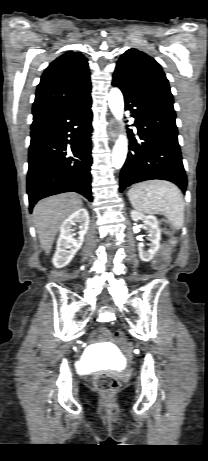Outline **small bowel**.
<instances>
[{"mask_svg": "<svg viewBox=\"0 0 208 461\" xmlns=\"http://www.w3.org/2000/svg\"><path fill=\"white\" fill-rule=\"evenodd\" d=\"M94 337H95L96 339H99V340L105 338V337H106V329H100L98 332H96V334L94 335Z\"/></svg>", "mask_w": 208, "mask_h": 461, "instance_id": "1", "label": "small bowel"}]
</instances>
